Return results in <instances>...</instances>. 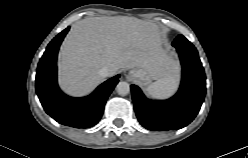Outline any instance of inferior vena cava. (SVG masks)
Returning a JSON list of instances; mask_svg holds the SVG:
<instances>
[{"mask_svg": "<svg viewBox=\"0 0 248 158\" xmlns=\"http://www.w3.org/2000/svg\"><path fill=\"white\" fill-rule=\"evenodd\" d=\"M99 74L103 78L108 77L110 75V69L107 66H104L99 70Z\"/></svg>", "mask_w": 248, "mask_h": 158, "instance_id": "602c4592", "label": "inferior vena cava"}]
</instances>
